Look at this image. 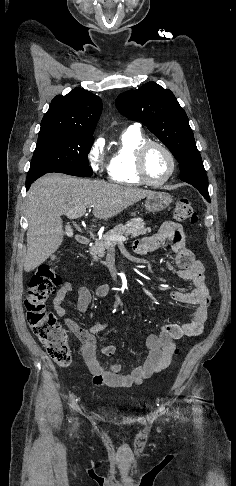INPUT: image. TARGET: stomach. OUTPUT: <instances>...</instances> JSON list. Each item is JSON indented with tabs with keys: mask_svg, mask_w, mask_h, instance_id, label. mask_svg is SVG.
<instances>
[{
	"mask_svg": "<svg viewBox=\"0 0 236 486\" xmlns=\"http://www.w3.org/2000/svg\"><path fill=\"white\" fill-rule=\"evenodd\" d=\"M172 202V197L166 192H154L147 196L145 208L150 213H156L166 209Z\"/></svg>",
	"mask_w": 236,
	"mask_h": 486,
	"instance_id": "stomach-1",
	"label": "stomach"
}]
</instances>
